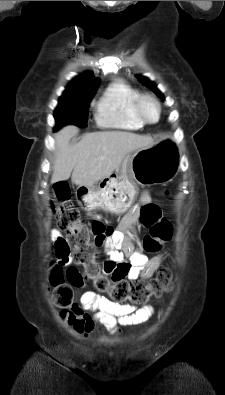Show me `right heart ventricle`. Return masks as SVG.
Returning a JSON list of instances; mask_svg holds the SVG:
<instances>
[{
  "label": "right heart ventricle",
  "mask_w": 225,
  "mask_h": 395,
  "mask_svg": "<svg viewBox=\"0 0 225 395\" xmlns=\"http://www.w3.org/2000/svg\"><path fill=\"white\" fill-rule=\"evenodd\" d=\"M139 92L121 80L108 85L96 103V122L104 128L139 130L144 124L134 113Z\"/></svg>",
  "instance_id": "1"
}]
</instances>
